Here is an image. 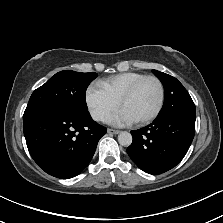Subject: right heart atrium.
I'll use <instances>...</instances> for the list:
<instances>
[{"label": "right heart atrium", "mask_w": 223, "mask_h": 223, "mask_svg": "<svg viewBox=\"0 0 223 223\" xmlns=\"http://www.w3.org/2000/svg\"><path fill=\"white\" fill-rule=\"evenodd\" d=\"M84 98L90 115L96 121H104L119 105V99L113 97L101 81L90 83Z\"/></svg>", "instance_id": "obj_1"}]
</instances>
